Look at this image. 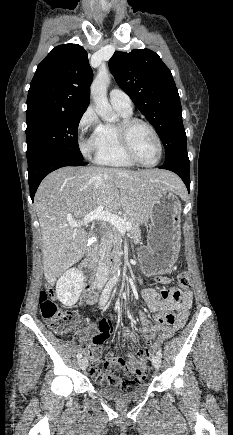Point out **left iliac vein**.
<instances>
[{"instance_id":"4c4485c4","label":"left iliac vein","mask_w":233,"mask_h":435,"mask_svg":"<svg viewBox=\"0 0 233 435\" xmlns=\"http://www.w3.org/2000/svg\"><path fill=\"white\" fill-rule=\"evenodd\" d=\"M152 364L156 369H159L161 366V358L159 356H153Z\"/></svg>"}]
</instances>
